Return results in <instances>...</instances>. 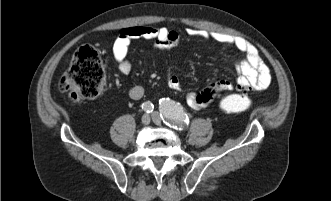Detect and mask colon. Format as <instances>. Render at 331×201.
I'll return each mask as SVG.
<instances>
[{
    "label": "colon",
    "mask_w": 331,
    "mask_h": 201,
    "mask_svg": "<svg viewBox=\"0 0 331 201\" xmlns=\"http://www.w3.org/2000/svg\"><path fill=\"white\" fill-rule=\"evenodd\" d=\"M104 64L105 60L94 48H79L68 70L59 80L60 91L66 93L74 102L101 95L106 89ZM219 105L224 112L238 113L248 110L253 105V100L247 90H241L222 98Z\"/></svg>",
    "instance_id": "5ec220e1"
}]
</instances>
